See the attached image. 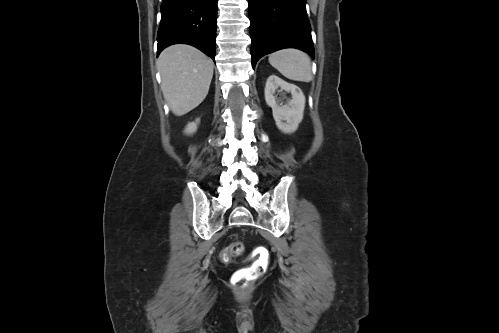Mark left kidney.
I'll return each instance as SVG.
<instances>
[{
    "instance_id": "1",
    "label": "left kidney",
    "mask_w": 499,
    "mask_h": 333,
    "mask_svg": "<svg viewBox=\"0 0 499 333\" xmlns=\"http://www.w3.org/2000/svg\"><path fill=\"white\" fill-rule=\"evenodd\" d=\"M278 88H280V91L291 93L292 99L287 104H283L282 99L274 96ZM265 100L267 105L272 108L278 129L288 134L295 132L303 119L305 107V96L301 89L276 75H271L267 79L265 86Z\"/></svg>"
}]
</instances>
